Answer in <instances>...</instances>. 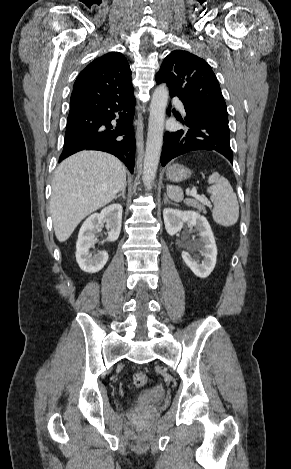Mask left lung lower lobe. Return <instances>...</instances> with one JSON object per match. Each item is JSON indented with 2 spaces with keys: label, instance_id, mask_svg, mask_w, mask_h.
Segmentation results:
<instances>
[{
  "label": "left lung lower lobe",
  "instance_id": "1",
  "mask_svg": "<svg viewBox=\"0 0 291 469\" xmlns=\"http://www.w3.org/2000/svg\"><path fill=\"white\" fill-rule=\"evenodd\" d=\"M170 96L174 97L171 94ZM181 101L186 111V117L181 122L187 129L165 133L161 165L165 166L171 159L194 150L217 151L232 163L228 118L204 111L182 99ZM170 108L171 105L167 114H170Z\"/></svg>",
  "mask_w": 291,
  "mask_h": 469
}]
</instances>
